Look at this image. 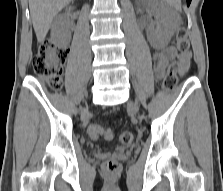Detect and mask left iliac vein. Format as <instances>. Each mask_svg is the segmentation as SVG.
<instances>
[{
    "label": "left iliac vein",
    "instance_id": "obj_1",
    "mask_svg": "<svg viewBox=\"0 0 223 191\" xmlns=\"http://www.w3.org/2000/svg\"><path fill=\"white\" fill-rule=\"evenodd\" d=\"M128 108H129L133 113H137V112H138L137 105L134 104L133 102H129V103H128Z\"/></svg>",
    "mask_w": 223,
    "mask_h": 191
}]
</instances>
